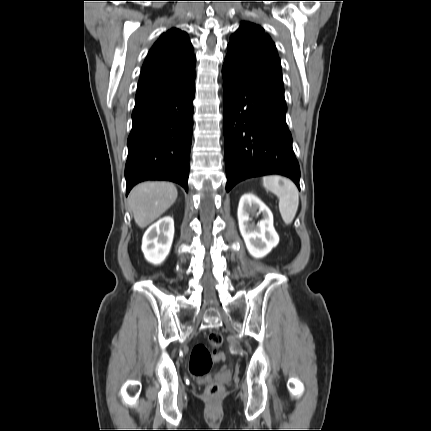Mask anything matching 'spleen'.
<instances>
[{"instance_id": "3e777b00", "label": "spleen", "mask_w": 431, "mask_h": 431, "mask_svg": "<svg viewBox=\"0 0 431 431\" xmlns=\"http://www.w3.org/2000/svg\"><path fill=\"white\" fill-rule=\"evenodd\" d=\"M262 185L279 198V211L285 224H291L299 205V193L295 184L281 176H265Z\"/></svg>"}]
</instances>
